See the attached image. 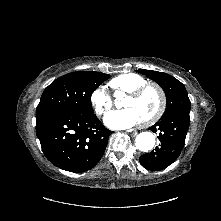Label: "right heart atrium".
Returning a JSON list of instances; mask_svg holds the SVG:
<instances>
[{
    "label": "right heart atrium",
    "instance_id": "obj_1",
    "mask_svg": "<svg viewBox=\"0 0 221 221\" xmlns=\"http://www.w3.org/2000/svg\"><path fill=\"white\" fill-rule=\"evenodd\" d=\"M90 101L98 116L105 115L113 107L111 96L102 87H98L92 92Z\"/></svg>",
    "mask_w": 221,
    "mask_h": 221
}]
</instances>
